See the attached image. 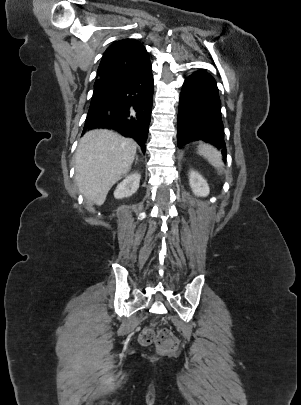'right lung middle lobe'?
Masks as SVG:
<instances>
[{"instance_id":"1","label":"right lung middle lobe","mask_w":301,"mask_h":405,"mask_svg":"<svg viewBox=\"0 0 301 405\" xmlns=\"http://www.w3.org/2000/svg\"><path fill=\"white\" fill-rule=\"evenodd\" d=\"M108 94L106 93H94L92 100H91V104L90 106L100 102L101 100H103Z\"/></svg>"}]
</instances>
